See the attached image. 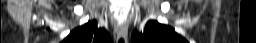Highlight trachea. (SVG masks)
<instances>
[{"label":"trachea","mask_w":256,"mask_h":43,"mask_svg":"<svg viewBox=\"0 0 256 43\" xmlns=\"http://www.w3.org/2000/svg\"><path fill=\"white\" fill-rule=\"evenodd\" d=\"M118 43H124V39L120 38Z\"/></svg>","instance_id":"obj_1"}]
</instances>
